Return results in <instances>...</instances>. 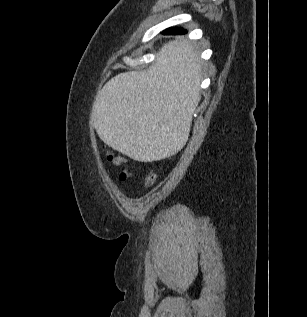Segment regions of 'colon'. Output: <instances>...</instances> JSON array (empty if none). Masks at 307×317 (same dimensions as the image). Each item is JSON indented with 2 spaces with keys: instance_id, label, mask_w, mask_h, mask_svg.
<instances>
[{
  "instance_id": "colon-1",
  "label": "colon",
  "mask_w": 307,
  "mask_h": 317,
  "mask_svg": "<svg viewBox=\"0 0 307 317\" xmlns=\"http://www.w3.org/2000/svg\"><path fill=\"white\" fill-rule=\"evenodd\" d=\"M106 159L107 161L115 166H120L126 163V159L122 156L119 155H114L113 153L108 152L106 154ZM131 173L128 169H123L120 174H119V179L121 181H127L130 177ZM157 179V175L154 171H149L144 179V187L148 188L154 185V183L156 182Z\"/></svg>"
}]
</instances>
